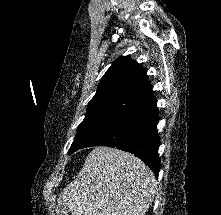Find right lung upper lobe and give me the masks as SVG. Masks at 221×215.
I'll return each mask as SVG.
<instances>
[{"mask_svg":"<svg viewBox=\"0 0 221 215\" xmlns=\"http://www.w3.org/2000/svg\"><path fill=\"white\" fill-rule=\"evenodd\" d=\"M154 99L146 71L122 56L107 70L89 102L87 113L124 117Z\"/></svg>","mask_w":221,"mask_h":215,"instance_id":"right-lung-upper-lobe-1","label":"right lung upper lobe"}]
</instances>
